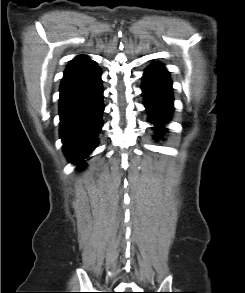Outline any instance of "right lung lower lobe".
<instances>
[{
    "label": "right lung lower lobe",
    "mask_w": 245,
    "mask_h": 293,
    "mask_svg": "<svg viewBox=\"0 0 245 293\" xmlns=\"http://www.w3.org/2000/svg\"><path fill=\"white\" fill-rule=\"evenodd\" d=\"M103 87L101 70L91 71L60 86V137L70 162L84 165V159L96 148L103 126Z\"/></svg>",
    "instance_id": "98d812e1"
}]
</instances>
